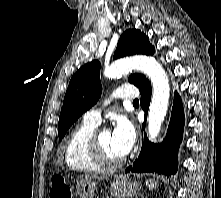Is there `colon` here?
<instances>
[{
    "label": "colon",
    "instance_id": "colon-1",
    "mask_svg": "<svg viewBox=\"0 0 221 198\" xmlns=\"http://www.w3.org/2000/svg\"><path fill=\"white\" fill-rule=\"evenodd\" d=\"M50 198H71L70 187L61 175H55L51 180V188L49 192Z\"/></svg>",
    "mask_w": 221,
    "mask_h": 198
}]
</instances>
